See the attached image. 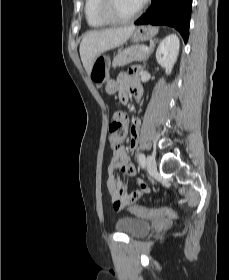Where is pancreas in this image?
I'll list each match as a JSON object with an SVG mask.
<instances>
[{"mask_svg":"<svg viewBox=\"0 0 229 280\" xmlns=\"http://www.w3.org/2000/svg\"><path fill=\"white\" fill-rule=\"evenodd\" d=\"M142 46L135 45L123 51H120L113 60V67L125 66L133 61H145L149 55L148 52L141 51Z\"/></svg>","mask_w":229,"mask_h":280,"instance_id":"pancreas-1","label":"pancreas"}]
</instances>
